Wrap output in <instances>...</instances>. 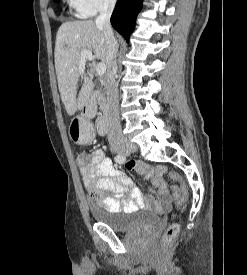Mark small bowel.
<instances>
[{"label":"small bowel","mask_w":247,"mask_h":275,"mask_svg":"<svg viewBox=\"0 0 247 275\" xmlns=\"http://www.w3.org/2000/svg\"><path fill=\"white\" fill-rule=\"evenodd\" d=\"M133 171L148 174V167L138 162ZM83 185L88 191L95 206L113 212H130L146 201L133 181L122 172L102 149L92 153L91 161L86 167L80 169ZM166 169L158 166L152 183L157 189L160 199L156 202L158 208L168 209L172 203V196L163 179ZM123 192H128L130 200H121Z\"/></svg>","instance_id":"1"}]
</instances>
